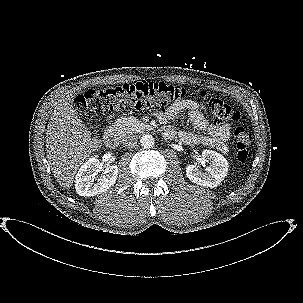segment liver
Masks as SVG:
<instances>
[{"instance_id": "liver-1", "label": "liver", "mask_w": 303, "mask_h": 303, "mask_svg": "<svg viewBox=\"0 0 303 303\" xmlns=\"http://www.w3.org/2000/svg\"><path fill=\"white\" fill-rule=\"evenodd\" d=\"M73 91H67L58 99L47 125L46 153L56 181L69 189L84 160L97 150L99 141L76 115Z\"/></svg>"}]
</instances>
